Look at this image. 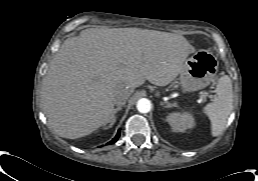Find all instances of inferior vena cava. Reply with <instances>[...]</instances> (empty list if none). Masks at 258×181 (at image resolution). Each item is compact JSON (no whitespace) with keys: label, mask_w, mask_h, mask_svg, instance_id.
<instances>
[{"label":"inferior vena cava","mask_w":258,"mask_h":181,"mask_svg":"<svg viewBox=\"0 0 258 181\" xmlns=\"http://www.w3.org/2000/svg\"><path fill=\"white\" fill-rule=\"evenodd\" d=\"M129 96H130V94L128 92H125L123 95H120L116 99V104L119 106L124 105Z\"/></svg>","instance_id":"obj_1"}]
</instances>
